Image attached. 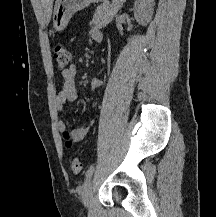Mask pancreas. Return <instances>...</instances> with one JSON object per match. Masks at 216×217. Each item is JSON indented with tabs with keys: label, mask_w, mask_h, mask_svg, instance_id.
I'll use <instances>...</instances> for the list:
<instances>
[{
	"label": "pancreas",
	"mask_w": 216,
	"mask_h": 217,
	"mask_svg": "<svg viewBox=\"0 0 216 217\" xmlns=\"http://www.w3.org/2000/svg\"><path fill=\"white\" fill-rule=\"evenodd\" d=\"M124 0H113L112 3H103L97 7L91 24L97 28H104L116 15Z\"/></svg>",
	"instance_id": "cf45deb5"
}]
</instances>
